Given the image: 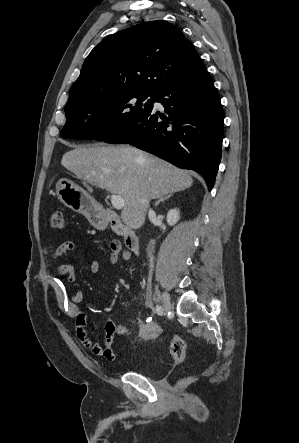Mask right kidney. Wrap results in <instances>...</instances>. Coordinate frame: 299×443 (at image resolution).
Returning <instances> with one entry per match:
<instances>
[{
  "instance_id": "right-kidney-1",
  "label": "right kidney",
  "mask_w": 299,
  "mask_h": 443,
  "mask_svg": "<svg viewBox=\"0 0 299 443\" xmlns=\"http://www.w3.org/2000/svg\"><path fill=\"white\" fill-rule=\"evenodd\" d=\"M180 216H179V210L177 209H171L168 213H167V223L170 226L175 225L178 220H179Z\"/></svg>"
}]
</instances>
